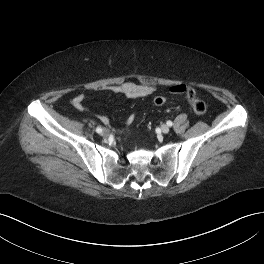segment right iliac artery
<instances>
[{
	"label": "right iliac artery",
	"instance_id": "1",
	"mask_svg": "<svg viewBox=\"0 0 264 264\" xmlns=\"http://www.w3.org/2000/svg\"><path fill=\"white\" fill-rule=\"evenodd\" d=\"M102 131H103V130H102L101 127H97V128H96V132H97V133H102Z\"/></svg>",
	"mask_w": 264,
	"mask_h": 264
}]
</instances>
